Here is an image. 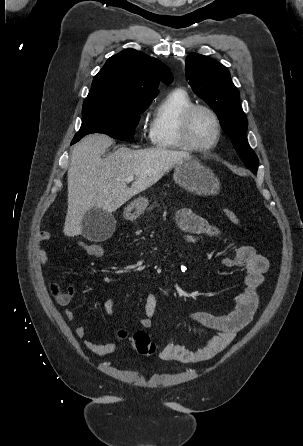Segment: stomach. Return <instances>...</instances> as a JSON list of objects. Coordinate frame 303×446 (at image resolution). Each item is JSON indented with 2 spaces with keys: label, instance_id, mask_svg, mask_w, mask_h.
I'll return each mask as SVG.
<instances>
[{
  "label": "stomach",
  "instance_id": "1",
  "mask_svg": "<svg viewBox=\"0 0 303 446\" xmlns=\"http://www.w3.org/2000/svg\"><path fill=\"white\" fill-rule=\"evenodd\" d=\"M175 182L189 192L197 195H214L219 191V180L214 173L194 159H188L175 165ZM148 206L146 197H138L125 209L124 216L134 220Z\"/></svg>",
  "mask_w": 303,
  "mask_h": 446
}]
</instances>
